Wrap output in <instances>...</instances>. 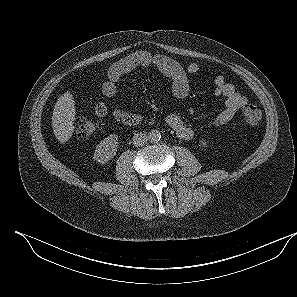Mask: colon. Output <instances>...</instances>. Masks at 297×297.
<instances>
[{"label":"colon","mask_w":297,"mask_h":297,"mask_svg":"<svg viewBox=\"0 0 297 297\" xmlns=\"http://www.w3.org/2000/svg\"><path fill=\"white\" fill-rule=\"evenodd\" d=\"M262 119V110L258 105L248 104L243 107L242 120L246 126H257ZM76 135L79 138H85L92 135L99 127L97 122L87 118L80 117L74 124Z\"/></svg>","instance_id":"5ec220e1"}]
</instances>
